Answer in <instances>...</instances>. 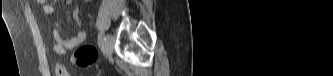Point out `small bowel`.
Here are the masks:
<instances>
[{"label": "small bowel", "mask_w": 333, "mask_h": 76, "mask_svg": "<svg viewBox=\"0 0 333 76\" xmlns=\"http://www.w3.org/2000/svg\"><path fill=\"white\" fill-rule=\"evenodd\" d=\"M43 11L48 14L51 17L55 16V8L48 3L46 0H38L37 1ZM71 18L79 26V31L78 33L69 38L66 39L63 36L61 25L57 20H53V40H54V51L57 54H65L67 51L72 50L79 46L81 43H83L86 39V31L82 27V22H81V13L79 7H75L72 10L71 13ZM56 75L57 76H67V72L65 71L64 67L62 65H57L55 69Z\"/></svg>", "instance_id": "1"}]
</instances>
